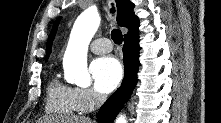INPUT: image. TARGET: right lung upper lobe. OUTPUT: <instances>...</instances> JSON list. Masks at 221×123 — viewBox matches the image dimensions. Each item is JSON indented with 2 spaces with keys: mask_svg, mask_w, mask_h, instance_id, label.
I'll return each instance as SVG.
<instances>
[{
  "mask_svg": "<svg viewBox=\"0 0 221 123\" xmlns=\"http://www.w3.org/2000/svg\"><path fill=\"white\" fill-rule=\"evenodd\" d=\"M116 5L118 9V16H117L118 24L122 27L128 28L129 30V32L126 35H124V38L138 35L139 34V31H138L139 19L133 13V9L135 5L130 0H116ZM60 19L61 18H58L55 21L54 26L49 35L47 45H46L47 58L49 54L51 53L52 43H53Z\"/></svg>",
  "mask_w": 221,
  "mask_h": 123,
  "instance_id": "cb5924a9",
  "label": "right lung upper lobe"
}]
</instances>
